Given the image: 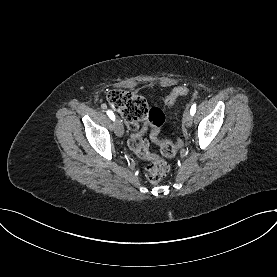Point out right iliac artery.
I'll list each match as a JSON object with an SVG mask.
<instances>
[{
  "mask_svg": "<svg viewBox=\"0 0 277 277\" xmlns=\"http://www.w3.org/2000/svg\"><path fill=\"white\" fill-rule=\"evenodd\" d=\"M107 115L114 121L115 120V116L114 113L112 111H107Z\"/></svg>",
  "mask_w": 277,
  "mask_h": 277,
  "instance_id": "right-iliac-artery-1",
  "label": "right iliac artery"
}]
</instances>
